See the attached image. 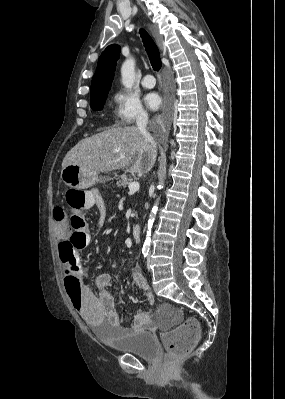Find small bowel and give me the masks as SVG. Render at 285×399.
<instances>
[{"instance_id":"1","label":"small bowel","mask_w":285,"mask_h":399,"mask_svg":"<svg viewBox=\"0 0 285 399\" xmlns=\"http://www.w3.org/2000/svg\"><path fill=\"white\" fill-rule=\"evenodd\" d=\"M85 208L87 210L96 211V222L95 225L101 224L106 216V206L102 195L96 189L85 192ZM53 215L58 218L56 224L57 235L60 239H65L69 236L70 232L64 223L61 221L63 212L62 209H54ZM67 265V264H66ZM70 278L72 281L78 282L82 289L79 306L73 305L72 299L70 298L72 305L78 310L80 316L87 322H103L106 321L109 325L114 328L122 329V333H127L132 330H147L154 329L155 326H150L149 317L150 313L137 312L133 316L132 327L126 328L125 318L115 311L116 302L110 289L108 279L104 273L97 274L95 277V287L97 294H95L87 285L84 280V274L82 270H78L76 265H67L66 278ZM131 278L142 291L143 296L150 304H154L153 295L148 287L147 280L143 275L140 268L135 267L131 271ZM66 290V288H65Z\"/></svg>"}]
</instances>
